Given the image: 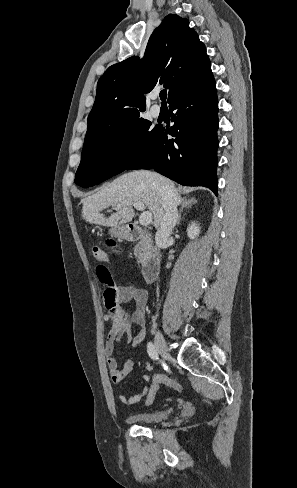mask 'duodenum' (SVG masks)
<instances>
[{
  "mask_svg": "<svg viewBox=\"0 0 297 488\" xmlns=\"http://www.w3.org/2000/svg\"><path fill=\"white\" fill-rule=\"evenodd\" d=\"M122 236L128 241L147 240L149 238L148 233L132 224L122 230ZM160 266L161 260L158 251L153 246H149L142 264V275L144 279L147 282H152L156 278Z\"/></svg>",
  "mask_w": 297,
  "mask_h": 488,
  "instance_id": "obj_1",
  "label": "duodenum"
}]
</instances>
